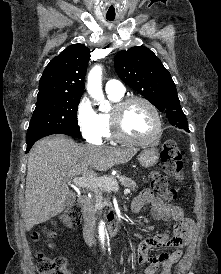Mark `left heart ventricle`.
Here are the masks:
<instances>
[{
    "instance_id": "left-heart-ventricle-1",
    "label": "left heart ventricle",
    "mask_w": 221,
    "mask_h": 274,
    "mask_svg": "<svg viewBox=\"0 0 221 274\" xmlns=\"http://www.w3.org/2000/svg\"><path fill=\"white\" fill-rule=\"evenodd\" d=\"M121 125L124 134L133 139L147 138L155 128L151 111L141 102L132 103L125 109Z\"/></svg>"
}]
</instances>
